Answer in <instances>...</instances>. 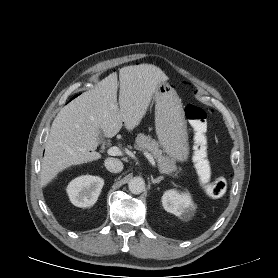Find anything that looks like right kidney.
Returning <instances> with one entry per match:
<instances>
[{
	"label": "right kidney",
	"mask_w": 278,
	"mask_h": 278,
	"mask_svg": "<svg viewBox=\"0 0 278 278\" xmlns=\"http://www.w3.org/2000/svg\"><path fill=\"white\" fill-rule=\"evenodd\" d=\"M103 185L102 178L84 175L75 178L68 184L67 193L73 205L85 208L96 203Z\"/></svg>",
	"instance_id": "1"
}]
</instances>
